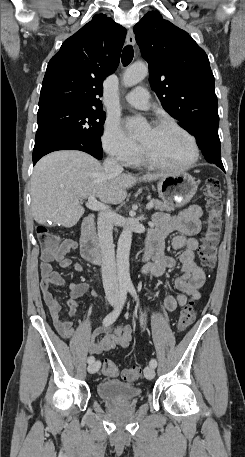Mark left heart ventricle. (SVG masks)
I'll list each match as a JSON object with an SVG mask.
<instances>
[{
  "instance_id": "obj_1",
  "label": "left heart ventricle",
  "mask_w": 245,
  "mask_h": 457,
  "mask_svg": "<svg viewBox=\"0 0 245 457\" xmlns=\"http://www.w3.org/2000/svg\"><path fill=\"white\" fill-rule=\"evenodd\" d=\"M136 140L144 153L170 165H182L191 156L188 138L174 128L149 127Z\"/></svg>"
}]
</instances>
